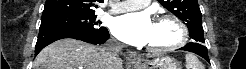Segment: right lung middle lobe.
Listing matches in <instances>:
<instances>
[{"label":"right lung middle lobe","instance_id":"obj_1","mask_svg":"<svg viewBox=\"0 0 246 69\" xmlns=\"http://www.w3.org/2000/svg\"><path fill=\"white\" fill-rule=\"evenodd\" d=\"M96 15L92 14H58L45 16L41 19L40 29L48 28H67L80 29L84 31H97V25L100 22H95Z\"/></svg>","mask_w":246,"mask_h":69}]
</instances>
